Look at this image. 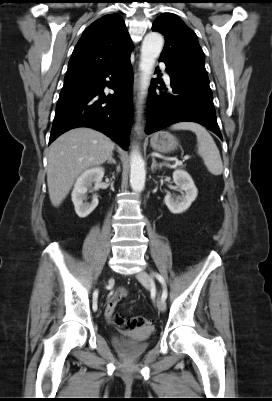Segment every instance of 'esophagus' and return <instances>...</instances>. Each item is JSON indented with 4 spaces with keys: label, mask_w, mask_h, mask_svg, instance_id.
Returning a JSON list of instances; mask_svg holds the SVG:
<instances>
[{
    "label": "esophagus",
    "mask_w": 272,
    "mask_h": 401,
    "mask_svg": "<svg viewBox=\"0 0 272 401\" xmlns=\"http://www.w3.org/2000/svg\"><path fill=\"white\" fill-rule=\"evenodd\" d=\"M139 72L135 70V78H134V101L137 109V122H136V129L140 135H143L144 131V114L142 106L139 102Z\"/></svg>",
    "instance_id": "esophagus-1"
}]
</instances>
